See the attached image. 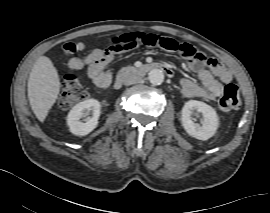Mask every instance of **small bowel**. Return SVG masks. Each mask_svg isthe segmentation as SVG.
Returning <instances> with one entry per match:
<instances>
[{
  "label": "small bowel",
  "mask_w": 270,
  "mask_h": 213,
  "mask_svg": "<svg viewBox=\"0 0 270 213\" xmlns=\"http://www.w3.org/2000/svg\"><path fill=\"white\" fill-rule=\"evenodd\" d=\"M191 47L192 50L198 51L195 47ZM85 49L86 45L83 42L63 45V54L71 56L68 61V68L71 71H79L87 67V75L93 84L98 88L107 89L112 83L113 75L110 70L106 69V66L113 60L114 54L106 53L101 48H93L84 56H75L76 53L83 52ZM184 56L187 59L188 68L195 72L200 80V84L190 78L181 80L180 89L185 97L215 99L222 94L224 85L232 82V73L218 60H212L209 68H207L204 63H200L185 54ZM168 66L174 72V67L171 64H168ZM221 69L224 70L223 75L218 73Z\"/></svg>",
  "instance_id": "c3829d8e"
}]
</instances>
